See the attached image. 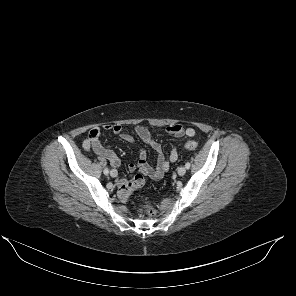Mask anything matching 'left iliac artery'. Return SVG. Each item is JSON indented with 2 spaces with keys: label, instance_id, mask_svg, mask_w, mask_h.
<instances>
[{
  "label": "left iliac artery",
  "instance_id": "left-iliac-artery-1",
  "mask_svg": "<svg viewBox=\"0 0 296 296\" xmlns=\"http://www.w3.org/2000/svg\"><path fill=\"white\" fill-rule=\"evenodd\" d=\"M185 167H186L187 169H189V168H190V163L187 162V163L185 164Z\"/></svg>",
  "mask_w": 296,
  "mask_h": 296
}]
</instances>
